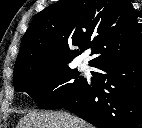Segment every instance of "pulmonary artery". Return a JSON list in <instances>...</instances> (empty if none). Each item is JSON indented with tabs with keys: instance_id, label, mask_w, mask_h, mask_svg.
<instances>
[{
	"instance_id": "obj_1",
	"label": "pulmonary artery",
	"mask_w": 142,
	"mask_h": 128,
	"mask_svg": "<svg viewBox=\"0 0 142 128\" xmlns=\"http://www.w3.org/2000/svg\"><path fill=\"white\" fill-rule=\"evenodd\" d=\"M80 66H81L82 69H87L88 68V65H87L86 62H81Z\"/></svg>"
}]
</instances>
